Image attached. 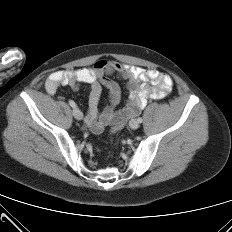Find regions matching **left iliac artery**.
Returning <instances> with one entry per match:
<instances>
[{
	"mask_svg": "<svg viewBox=\"0 0 232 232\" xmlns=\"http://www.w3.org/2000/svg\"><path fill=\"white\" fill-rule=\"evenodd\" d=\"M137 121H138L139 123H142L143 119H142L141 117H139V118L137 119Z\"/></svg>",
	"mask_w": 232,
	"mask_h": 232,
	"instance_id": "44dca946",
	"label": "left iliac artery"
}]
</instances>
